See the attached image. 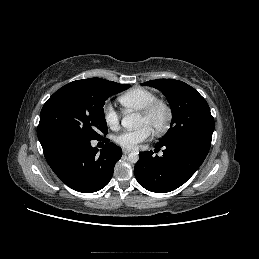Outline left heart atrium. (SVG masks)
<instances>
[{
  "label": "left heart atrium",
  "instance_id": "1",
  "mask_svg": "<svg viewBox=\"0 0 259 259\" xmlns=\"http://www.w3.org/2000/svg\"><path fill=\"white\" fill-rule=\"evenodd\" d=\"M152 130L147 126H141L136 130L123 131L114 137V141L120 147L127 150H134L138 145L148 140Z\"/></svg>",
  "mask_w": 259,
  "mask_h": 259
}]
</instances>
